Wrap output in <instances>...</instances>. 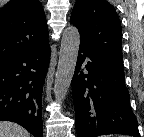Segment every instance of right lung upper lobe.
Listing matches in <instances>:
<instances>
[{"mask_svg": "<svg viewBox=\"0 0 144 137\" xmlns=\"http://www.w3.org/2000/svg\"><path fill=\"white\" fill-rule=\"evenodd\" d=\"M48 39L38 0H11L0 10V64Z\"/></svg>", "mask_w": 144, "mask_h": 137, "instance_id": "obj_1", "label": "right lung upper lobe"}]
</instances>
